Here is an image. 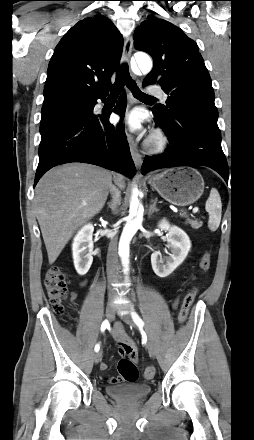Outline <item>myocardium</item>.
I'll return each instance as SVG.
<instances>
[{"instance_id": "f54148a6", "label": "myocardium", "mask_w": 254, "mask_h": 440, "mask_svg": "<svg viewBox=\"0 0 254 440\" xmlns=\"http://www.w3.org/2000/svg\"><path fill=\"white\" fill-rule=\"evenodd\" d=\"M147 145L152 152H161L168 145V137L163 131L158 130L152 134Z\"/></svg>"}]
</instances>
